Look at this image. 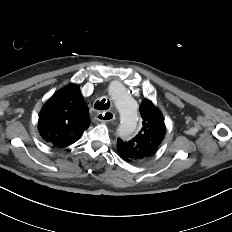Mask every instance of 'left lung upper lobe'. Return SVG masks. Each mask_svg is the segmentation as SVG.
Segmentation results:
<instances>
[{
  "label": "left lung upper lobe",
  "mask_w": 232,
  "mask_h": 232,
  "mask_svg": "<svg viewBox=\"0 0 232 232\" xmlns=\"http://www.w3.org/2000/svg\"><path fill=\"white\" fill-rule=\"evenodd\" d=\"M140 114L143 119L139 133L129 141L117 140L120 156L128 162L146 161L158 150L165 136V124L162 113L150 100L142 101Z\"/></svg>",
  "instance_id": "5c2ea615"
}]
</instances>
